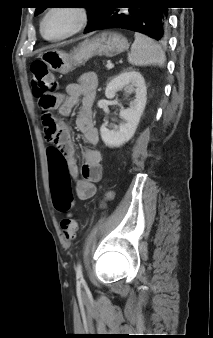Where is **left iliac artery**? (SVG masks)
<instances>
[{
  "mask_svg": "<svg viewBox=\"0 0 213 338\" xmlns=\"http://www.w3.org/2000/svg\"><path fill=\"white\" fill-rule=\"evenodd\" d=\"M76 277H77V280H80V281L83 280L82 266L80 263L76 267Z\"/></svg>",
  "mask_w": 213,
  "mask_h": 338,
  "instance_id": "left-iliac-artery-1",
  "label": "left iliac artery"
}]
</instances>
